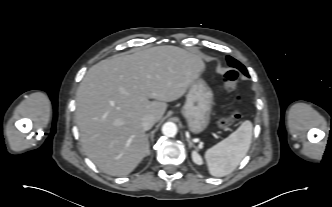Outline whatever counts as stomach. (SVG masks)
<instances>
[{"label":"stomach","mask_w":332,"mask_h":207,"mask_svg":"<svg viewBox=\"0 0 332 207\" xmlns=\"http://www.w3.org/2000/svg\"><path fill=\"white\" fill-rule=\"evenodd\" d=\"M212 104V90L203 79L198 77L191 83L182 108V115L192 133L198 134L208 126Z\"/></svg>","instance_id":"obj_1"}]
</instances>
